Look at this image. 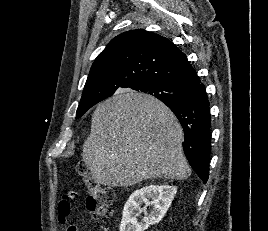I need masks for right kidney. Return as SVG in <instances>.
<instances>
[{"label":"right kidney","instance_id":"right-kidney-1","mask_svg":"<svg viewBox=\"0 0 268 231\" xmlns=\"http://www.w3.org/2000/svg\"><path fill=\"white\" fill-rule=\"evenodd\" d=\"M176 193L175 186L166 184H151L134 191L124 205L120 231H144L150 225L159 223L171 206ZM143 203L145 207L140 208ZM148 206H152L149 214L146 211ZM141 211L145 216L140 222H137L138 212Z\"/></svg>","mask_w":268,"mask_h":231}]
</instances>
